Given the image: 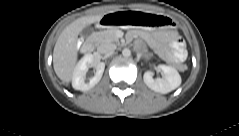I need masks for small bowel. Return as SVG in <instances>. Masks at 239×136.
Instances as JSON below:
<instances>
[{"instance_id": "small-bowel-1", "label": "small bowel", "mask_w": 239, "mask_h": 136, "mask_svg": "<svg viewBox=\"0 0 239 136\" xmlns=\"http://www.w3.org/2000/svg\"><path fill=\"white\" fill-rule=\"evenodd\" d=\"M138 46L140 47L141 44L138 43ZM173 48L176 60L177 61L183 60L185 58L184 42L178 37H175L173 41Z\"/></svg>"}]
</instances>
